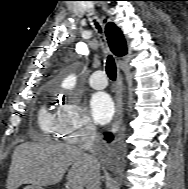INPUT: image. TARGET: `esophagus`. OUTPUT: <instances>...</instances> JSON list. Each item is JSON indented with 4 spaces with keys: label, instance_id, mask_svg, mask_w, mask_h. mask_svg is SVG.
Instances as JSON below:
<instances>
[{
    "label": "esophagus",
    "instance_id": "esophagus-1",
    "mask_svg": "<svg viewBox=\"0 0 188 189\" xmlns=\"http://www.w3.org/2000/svg\"><path fill=\"white\" fill-rule=\"evenodd\" d=\"M121 85H122V75L121 73L118 71V87H117V91H116V112H115V116L111 125V130L112 131H116L119 128V125L121 123L122 120V107H121Z\"/></svg>",
    "mask_w": 188,
    "mask_h": 189
}]
</instances>
